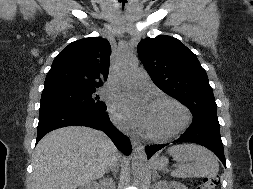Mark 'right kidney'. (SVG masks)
Masks as SVG:
<instances>
[{
  "instance_id": "1",
  "label": "right kidney",
  "mask_w": 253,
  "mask_h": 189,
  "mask_svg": "<svg viewBox=\"0 0 253 189\" xmlns=\"http://www.w3.org/2000/svg\"><path fill=\"white\" fill-rule=\"evenodd\" d=\"M113 183L107 179L100 180L98 182H89L82 185L79 189H112Z\"/></svg>"
}]
</instances>
